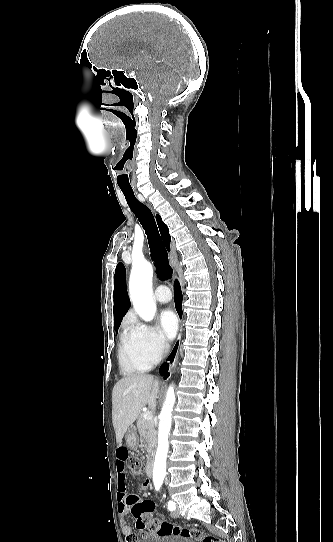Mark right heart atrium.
<instances>
[{
	"label": "right heart atrium",
	"instance_id": "d8ad5b80",
	"mask_svg": "<svg viewBox=\"0 0 333 542\" xmlns=\"http://www.w3.org/2000/svg\"><path fill=\"white\" fill-rule=\"evenodd\" d=\"M131 336L155 357H163L168 352V342L155 326L137 321L134 323Z\"/></svg>",
	"mask_w": 333,
	"mask_h": 542
}]
</instances>
